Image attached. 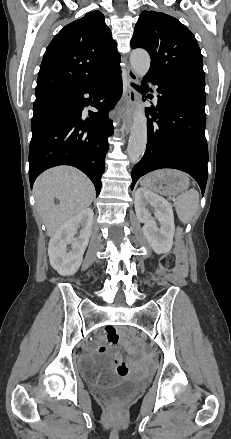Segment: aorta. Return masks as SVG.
Wrapping results in <instances>:
<instances>
[{
	"instance_id": "1",
	"label": "aorta",
	"mask_w": 231,
	"mask_h": 439,
	"mask_svg": "<svg viewBox=\"0 0 231 439\" xmlns=\"http://www.w3.org/2000/svg\"><path fill=\"white\" fill-rule=\"evenodd\" d=\"M130 62L139 77L146 75L150 68V56L142 49L133 50L130 54ZM147 144V119L141 107L134 113V121L127 147V153L132 163H137L143 156Z\"/></svg>"
}]
</instances>
